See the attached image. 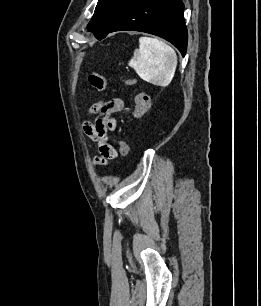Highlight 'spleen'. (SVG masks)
<instances>
[{
	"label": "spleen",
	"mask_w": 261,
	"mask_h": 306,
	"mask_svg": "<svg viewBox=\"0 0 261 306\" xmlns=\"http://www.w3.org/2000/svg\"><path fill=\"white\" fill-rule=\"evenodd\" d=\"M129 66L144 81L166 87L175 75L177 55L167 43L157 38L141 37Z\"/></svg>",
	"instance_id": "spleen-1"
}]
</instances>
